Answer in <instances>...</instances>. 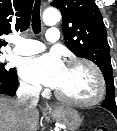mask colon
<instances>
[{"mask_svg": "<svg viewBox=\"0 0 117 131\" xmlns=\"http://www.w3.org/2000/svg\"><path fill=\"white\" fill-rule=\"evenodd\" d=\"M94 131H109L105 126L99 125L97 126Z\"/></svg>", "mask_w": 117, "mask_h": 131, "instance_id": "5ec220e1", "label": "colon"}]
</instances>
